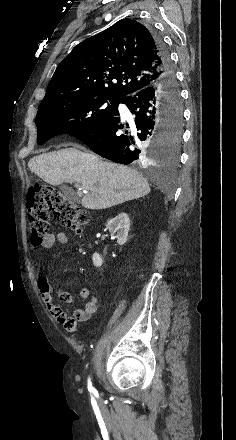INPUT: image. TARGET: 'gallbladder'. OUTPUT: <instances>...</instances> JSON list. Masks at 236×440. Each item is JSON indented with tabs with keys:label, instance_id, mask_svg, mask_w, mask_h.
Masks as SVG:
<instances>
[{
	"label": "gallbladder",
	"instance_id": "obj_1",
	"mask_svg": "<svg viewBox=\"0 0 236 440\" xmlns=\"http://www.w3.org/2000/svg\"><path fill=\"white\" fill-rule=\"evenodd\" d=\"M60 189L67 198H69L72 201L78 202V197L70 187L66 185H61Z\"/></svg>",
	"mask_w": 236,
	"mask_h": 440
}]
</instances>
